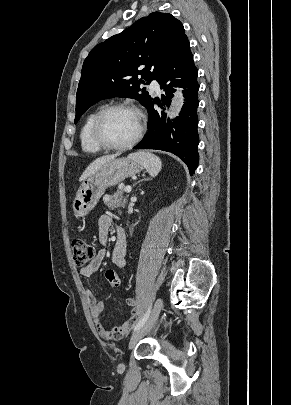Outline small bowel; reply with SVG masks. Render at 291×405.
Listing matches in <instances>:
<instances>
[{
	"instance_id": "obj_1",
	"label": "small bowel",
	"mask_w": 291,
	"mask_h": 405,
	"mask_svg": "<svg viewBox=\"0 0 291 405\" xmlns=\"http://www.w3.org/2000/svg\"><path fill=\"white\" fill-rule=\"evenodd\" d=\"M113 223L110 215H103L98 223V238L101 244H106L109 235V229ZM105 257V251L100 250L94 258L84 267L80 269V274L84 277H91L101 266ZM112 262L117 267H124L126 263V238L122 228H117L116 241L111 255ZM86 298L90 305L91 316L96 325L98 334L105 340L118 341L129 333L140 316V307L137 301L133 298H127L126 303L132 308V313L127 321L122 325L111 330L106 329L100 320V315L104 309V303L98 301L94 294L90 291L86 292Z\"/></svg>"
}]
</instances>
